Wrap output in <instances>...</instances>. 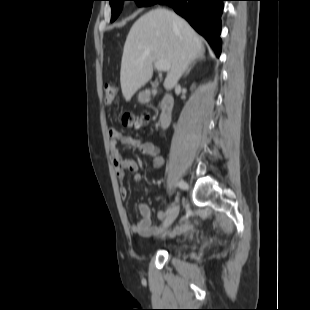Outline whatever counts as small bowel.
I'll use <instances>...</instances> for the list:
<instances>
[{
  "instance_id": "obj_1",
  "label": "small bowel",
  "mask_w": 310,
  "mask_h": 310,
  "mask_svg": "<svg viewBox=\"0 0 310 310\" xmlns=\"http://www.w3.org/2000/svg\"><path fill=\"white\" fill-rule=\"evenodd\" d=\"M108 135L110 139L111 146V156L113 162L114 171L119 179L122 182L124 178L125 171H130L133 173L132 181L134 183H140L142 181V175L138 172V167L136 162L128 157L123 156L118 148L117 144L121 143L128 147L137 148L139 152L150 158V161L154 167H161L164 163V158L161 155L158 147L142 139H136L129 135H125L116 128H110L108 130ZM119 193L121 198L125 199L128 196V192L125 187L120 186ZM138 210L141 214V219L136 223L132 224V231L141 236V237H151L157 234L167 235L165 230H162L161 226L153 225L151 220V208L145 204L140 203L138 205ZM157 217L160 220L165 218V212L159 211ZM197 224L196 220H190L188 218H183L175 228L168 233L170 236H175L185 231L191 230Z\"/></svg>"
}]
</instances>
